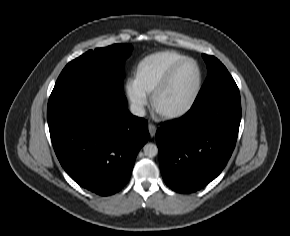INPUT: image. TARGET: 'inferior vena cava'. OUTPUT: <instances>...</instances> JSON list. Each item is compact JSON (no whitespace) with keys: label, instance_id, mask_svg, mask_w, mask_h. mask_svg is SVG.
<instances>
[{"label":"inferior vena cava","instance_id":"1","mask_svg":"<svg viewBox=\"0 0 290 236\" xmlns=\"http://www.w3.org/2000/svg\"><path fill=\"white\" fill-rule=\"evenodd\" d=\"M130 112L138 117H143L145 116V109L143 106L138 105V104H131L130 105Z\"/></svg>","mask_w":290,"mask_h":236}]
</instances>
